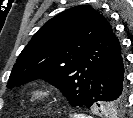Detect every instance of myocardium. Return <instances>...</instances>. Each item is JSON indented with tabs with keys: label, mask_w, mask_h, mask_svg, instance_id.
<instances>
[{
	"label": "myocardium",
	"mask_w": 133,
	"mask_h": 118,
	"mask_svg": "<svg viewBox=\"0 0 133 118\" xmlns=\"http://www.w3.org/2000/svg\"><path fill=\"white\" fill-rule=\"evenodd\" d=\"M58 95V87L45 81L32 83L26 88L24 93L26 103L31 106L47 104L55 100Z\"/></svg>",
	"instance_id": "obj_1"
}]
</instances>
